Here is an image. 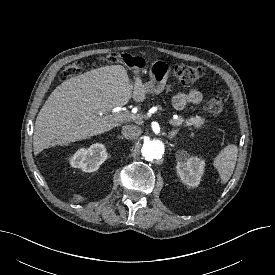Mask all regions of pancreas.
Here are the masks:
<instances>
[{"label": "pancreas", "instance_id": "cf45deb5", "mask_svg": "<svg viewBox=\"0 0 275 275\" xmlns=\"http://www.w3.org/2000/svg\"><path fill=\"white\" fill-rule=\"evenodd\" d=\"M185 121V124L187 126H191L193 125L195 128L199 129V128H202L204 123H205V119L204 118H201L199 116H196V117H191L190 119L188 120H184L182 117H179L177 120H172V122L176 123V124H181L182 122Z\"/></svg>", "mask_w": 275, "mask_h": 275}]
</instances>
